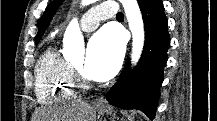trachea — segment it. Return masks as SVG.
Here are the masks:
<instances>
[{"mask_svg":"<svg viewBox=\"0 0 217 121\" xmlns=\"http://www.w3.org/2000/svg\"><path fill=\"white\" fill-rule=\"evenodd\" d=\"M116 17H123V13L122 12H118Z\"/></svg>","mask_w":217,"mask_h":121,"instance_id":"obj_1","label":"trachea"}]
</instances>
